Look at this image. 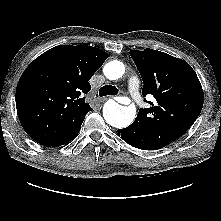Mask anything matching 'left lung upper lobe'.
<instances>
[{"label":"left lung upper lobe","mask_w":221,"mask_h":221,"mask_svg":"<svg viewBox=\"0 0 221 221\" xmlns=\"http://www.w3.org/2000/svg\"><path fill=\"white\" fill-rule=\"evenodd\" d=\"M130 55L144 82L142 94L157 103L139 109L130 125L135 146L143 150L165 147L184 134L199 116L204 102L200 81L183 60L153 49L132 50Z\"/></svg>","instance_id":"5c2ea615"}]
</instances>
